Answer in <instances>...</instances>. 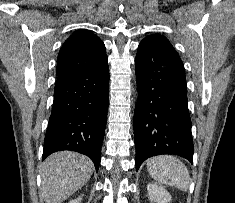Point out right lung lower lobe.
Returning a JSON list of instances; mask_svg holds the SVG:
<instances>
[{
	"label": "right lung lower lobe",
	"instance_id": "1",
	"mask_svg": "<svg viewBox=\"0 0 235 203\" xmlns=\"http://www.w3.org/2000/svg\"><path fill=\"white\" fill-rule=\"evenodd\" d=\"M108 88L107 55L56 82L42 160L56 151L71 150L87 155L98 170L106 127Z\"/></svg>",
	"mask_w": 235,
	"mask_h": 203
}]
</instances>
